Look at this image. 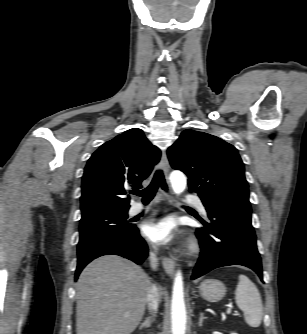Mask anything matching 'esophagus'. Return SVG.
<instances>
[{"mask_svg":"<svg viewBox=\"0 0 307 334\" xmlns=\"http://www.w3.org/2000/svg\"><path fill=\"white\" fill-rule=\"evenodd\" d=\"M161 168L163 170V173L166 177V179L168 180V174H169V170H170V165H169V161L167 158V154L166 152L162 153V157H161ZM162 265L163 268L165 270V272L172 277L174 275L175 272V261L173 257H162Z\"/></svg>","mask_w":307,"mask_h":334,"instance_id":"1","label":"esophagus"}]
</instances>
